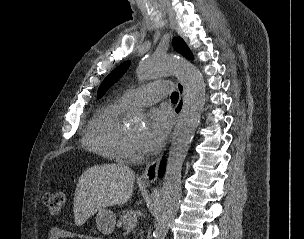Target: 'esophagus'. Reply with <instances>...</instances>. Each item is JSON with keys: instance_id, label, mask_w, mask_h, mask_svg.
Segmentation results:
<instances>
[{"instance_id": "esophagus-1", "label": "esophagus", "mask_w": 304, "mask_h": 239, "mask_svg": "<svg viewBox=\"0 0 304 239\" xmlns=\"http://www.w3.org/2000/svg\"><path fill=\"white\" fill-rule=\"evenodd\" d=\"M176 85H177V89L179 92V100L174 108V113H175L176 119H178L184 108L185 87H184L183 83L179 80H177ZM165 149L166 148H164L163 152L165 151ZM163 152L147 165L145 171L143 172V174L140 177V181L142 183L153 184L157 180L158 168H159L161 158L163 156Z\"/></svg>"}]
</instances>
